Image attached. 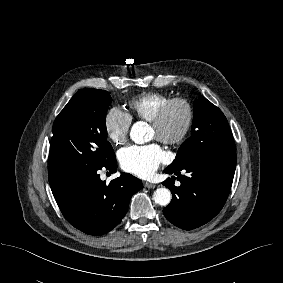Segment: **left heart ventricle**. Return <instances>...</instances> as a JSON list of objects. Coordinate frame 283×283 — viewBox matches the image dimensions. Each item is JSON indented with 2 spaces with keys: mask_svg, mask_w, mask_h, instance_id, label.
<instances>
[{
  "mask_svg": "<svg viewBox=\"0 0 283 283\" xmlns=\"http://www.w3.org/2000/svg\"><path fill=\"white\" fill-rule=\"evenodd\" d=\"M184 121H185L184 109L179 105L174 106L170 110L168 117L166 119L165 133L169 136L177 134L181 130ZM151 134L153 138L157 137V132L153 127H151Z\"/></svg>",
  "mask_w": 283,
  "mask_h": 283,
  "instance_id": "b2bd125f",
  "label": "left heart ventricle"
}]
</instances>
